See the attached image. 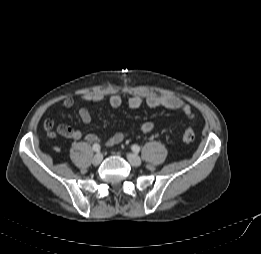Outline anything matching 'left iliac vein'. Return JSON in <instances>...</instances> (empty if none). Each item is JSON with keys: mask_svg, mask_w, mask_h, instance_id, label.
Segmentation results:
<instances>
[{"mask_svg": "<svg viewBox=\"0 0 261 254\" xmlns=\"http://www.w3.org/2000/svg\"><path fill=\"white\" fill-rule=\"evenodd\" d=\"M127 159L129 161V163L134 166V167H139L142 163L141 159L139 156H137L134 153H128L127 154Z\"/></svg>", "mask_w": 261, "mask_h": 254, "instance_id": "1", "label": "left iliac vein"}]
</instances>
